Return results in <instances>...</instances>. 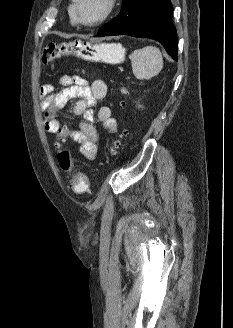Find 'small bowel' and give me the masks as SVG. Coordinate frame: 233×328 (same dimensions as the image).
I'll list each match as a JSON object with an SVG mask.
<instances>
[{"label": "small bowel", "mask_w": 233, "mask_h": 328, "mask_svg": "<svg viewBox=\"0 0 233 328\" xmlns=\"http://www.w3.org/2000/svg\"><path fill=\"white\" fill-rule=\"evenodd\" d=\"M57 85L62 90L54 93L55 85L48 83L40 89L41 107L44 111L45 127L50 133L57 134L62 127L58 119V111L70 100L77 99L73 105V112L83 117L78 128L71 130L69 138L80 145V153L88 160L98 157V133L94 127L95 112L93 108L105 99L107 85L102 80H95L91 84L81 76L63 75L57 80ZM96 118L103 128L113 133L117 130V121L112 117L111 110L107 106H101Z\"/></svg>", "instance_id": "obj_1"}]
</instances>
